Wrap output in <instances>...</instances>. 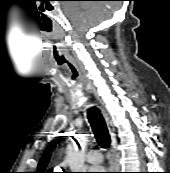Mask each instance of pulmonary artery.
<instances>
[{
    "mask_svg": "<svg viewBox=\"0 0 170 173\" xmlns=\"http://www.w3.org/2000/svg\"><path fill=\"white\" fill-rule=\"evenodd\" d=\"M87 161L92 165H98L102 162V154L99 150L92 149L86 154Z\"/></svg>",
    "mask_w": 170,
    "mask_h": 173,
    "instance_id": "1",
    "label": "pulmonary artery"
}]
</instances>
